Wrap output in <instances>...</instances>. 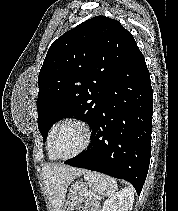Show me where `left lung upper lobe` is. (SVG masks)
I'll use <instances>...</instances> for the list:
<instances>
[{
	"mask_svg": "<svg viewBox=\"0 0 178 211\" xmlns=\"http://www.w3.org/2000/svg\"><path fill=\"white\" fill-rule=\"evenodd\" d=\"M137 44L117 20L93 17L50 46L39 73L38 128L47 138L58 120L76 116L92 128L107 89Z\"/></svg>",
	"mask_w": 178,
	"mask_h": 211,
	"instance_id": "left-lung-upper-lobe-1",
	"label": "left lung upper lobe"
}]
</instances>
